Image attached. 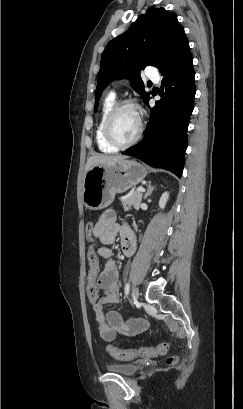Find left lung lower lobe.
<instances>
[{
  "instance_id": "0a47b994",
  "label": "left lung lower lobe",
  "mask_w": 243,
  "mask_h": 409,
  "mask_svg": "<svg viewBox=\"0 0 243 409\" xmlns=\"http://www.w3.org/2000/svg\"><path fill=\"white\" fill-rule=\"evenodd\" d=\"M161 73V100L151 109L144 138L122 154L171 171L180 178L196 92L193 56L188 42ZM149 99L145 101L148 103Z\"/></svg>"
}]
</instances>
